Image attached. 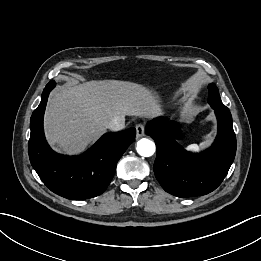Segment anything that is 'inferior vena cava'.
Wrapping results in <instances>:
<instances>
[{
    "label": "inferior vena cava",
    "instance_id": "inferior-vena-cava-1",
    "mask_svg": "<svg viewBox=\"0 0 261 261\" xmlns=\"http://www.w3.org/2000/svg\"><path fill=\"white\" fill-rule=\"evenodd\" d=\"M106 127L112 131H119L125 128V117L122 115L115 116L109 122H107Z\"/></svg>",
    "mask_w": 261,
    "mask_h": 261
}]
</instances>
